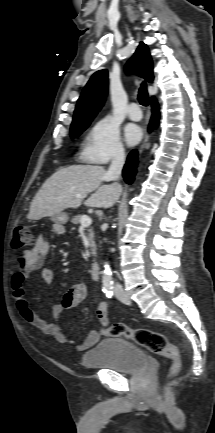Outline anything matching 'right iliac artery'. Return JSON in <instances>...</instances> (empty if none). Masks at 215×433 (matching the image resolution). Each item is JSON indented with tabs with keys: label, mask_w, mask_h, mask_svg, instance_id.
<instances>
[{
	"label": "right iliac artery",
	"mask_w": 215,
	"mask_h": 433,
	"mask_svg": "<svg viewBox=\"0 0 215 433\" xmlns=\"http://www.w3.org/2000/svg\"><path fill=\"white\" fill-rule=\"evenodd\" d=\"M103 292L106 294L108 298H111L113 296V286L111 285H104Z\"/></svg>",
	"instance_id": "right-iliac-artery-1"
}]
</instances>
